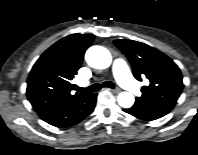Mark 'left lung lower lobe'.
Here are the masks:
<instances>
[{
	"label": "left lung lower lobe",
	"instance_id": "1",
	"mask_svg": "<svg viewBox=\"0 0 198 155\" xmlns=\"http://www.w3.org/2000/svg\"><path fill=\"white\" fill-rule=\"evenodd\" d=\"M173 107L171 104H145L136 101L131 108L123 109V111L138 119L150 121L165 116Z\"/></svg>",
	"mask_w": 198,
	"mask_h": 155
}]
</instances>
